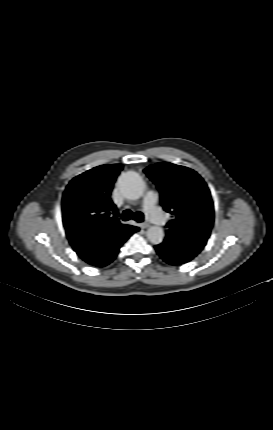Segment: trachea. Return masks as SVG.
<instances>
[{"instance_id": "1", "label": "trachea", "mask_w": 273, "mask_h": 430, "mask_svg": "<svg viewBox=\"0 0 273 430\" xmlns=\"http://www.w3.org/2000/svg\"><path fill=\"white\" fill-rule=\"evenodd\" d=\"M121 218L123 221H128L130 219H133L136 222H142L144 220V215L140 211L133 213L131 210L127 209L123 211Z\"/></svg>"}]
</instances>
